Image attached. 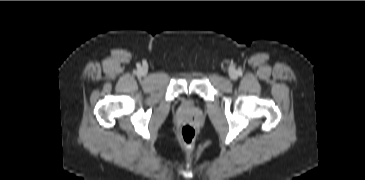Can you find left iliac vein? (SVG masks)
<instances>
[{"label": "left iliac vein", "instance_id": "left-iliac-vein-1", "mask_svg": "<svg viewBox=\"0 0 365 180\" xmlns=\"http://www.w3.org/2000/svg\"><path fill=\"white\" fill-rule=\"evenodd\" d=\"M229 75H230V78L233 80L237 79V77H238V74L235 70H231Z\"/></svg>", "mask_w": 365, "mask_h": 180}]
</instances>
